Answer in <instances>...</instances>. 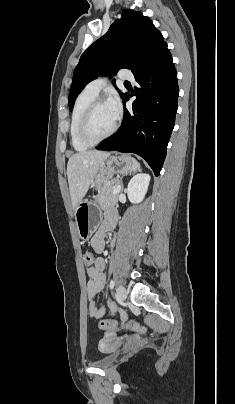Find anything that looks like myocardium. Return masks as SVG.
I'll return each instance as SVG.
<instances>
[{"label":"myocardium","instance_id":"obj_1","mask_svg":"<svg viewBox=\"0 0 235 404\" xmlns=\"http://www.w3.org/2000/svg\"><path fill=\"white\" fill-rule=\"evenodd\" d=\"M105 103V101L101 98H96L94 99L89 106L87 107V109L85 110L81 122H80V126H79V136L81 138V140L90 145V146H94L99 144L100 142L110 138L117 130L118 125H119V119L118 117L116 118L113 126L111 127V129L104 134L103 136L99 137V138H94L91 133H90V124L92 121V117L93 114L96 110V108L102 104Z\"/></svg>","mask_w":235,"mask_h":404}]
</instances>
